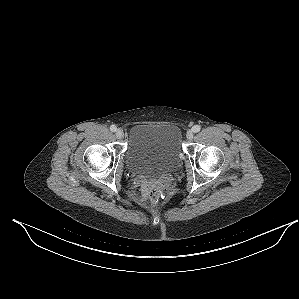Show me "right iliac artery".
Wrapping results in <instances>:
<instances>
[{
  "label": "right iliac artery",
  "mask_w": 299,
  "mask_h": 299,
  "mask_svg": "<svg viewBox=\"0 0 299 299\" xmlns=\"http://www.w3.org/2000/svg\"><path fill=\"white\" fill-rule=\"evenodd\" d=\"M116 129H117V128H116V126H115V125H111V126H110V130H111L112 132H115V131H116Z\"/></svg>",
  "instance_id": "right-iliac-artery-1"
}]
</instances>
